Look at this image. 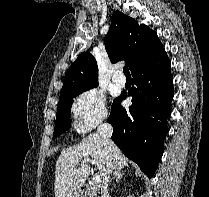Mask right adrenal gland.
Returning a JSON list of instances; mask_svg holds the SVG:
<instances>
[{"label": "right adrenal gland", "mask_w": 209, "mask_h": 197, "mask_svg": "<svg viewBox=\"0 0 209 197\" xmlns=\"http://www.w3.org/2000/svg\"><path fill=\"white\" fill-rule=\"evenodd\" d=\"M123 177V172L121 170H115L111 180L120 181Z\"/></svg>", "instance_id": "obj_1"}]
</instances>
